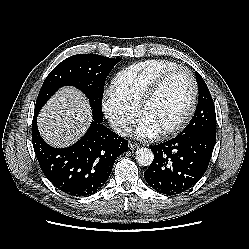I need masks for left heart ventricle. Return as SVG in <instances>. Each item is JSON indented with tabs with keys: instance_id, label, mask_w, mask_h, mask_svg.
Returning <instances> with one entry per match:
<instances>
[{
	"instance_id": "left-heart-ventricle-1",
	"label": "left heart ventricle",
	"mask_w": 249,
	"mask_h": 249,
	"mask_svg": "<svg viewBox=\"0 0 249 249\" xmlns=\"http://www.w3.org/2000/svg\"><path fill=\"white\" fill-rule=\"evenodd\" d=\"M191 93L186 72L178 71L162 85L156 97L146 108L143 118L162 130L174 124L186 111Z\"/></svg>"
}]
</instances>
